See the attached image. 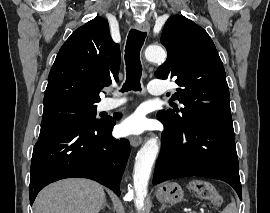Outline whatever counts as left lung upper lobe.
<instances>
[{
    "instance_id": "obj_1",
    "label": "left lung upper lobe",
    "mask_w": 270,
    "mask_h": 213,
    "mask_svg": "<svg viewBox=\"0 0 270 213\" xmlns=\"http://www.w3.org/2000/svg\"><path fill=\"white\" fill-rule=\"evenodd\" d=\"M161 43L166 62L154 73L159 79L176 78L173 94L183 108L159 111L158 118L183 128L196 119L232 121L225 70L207 32L182 15L165 23Z\"/></svg>"
}]
</instances>
